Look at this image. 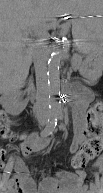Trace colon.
Returning <instances> with one entry per match:
<instances>
[{"instance_id": "5ec220e1", "label": "colon", "mask_w": 103, "mask_h": 193, "mask_svg": "<svg viewBox=\"0 0 103 193\" xmlns=\"http://www.w3.org/2000/svg\"><path fill=\"white\" fill-rule=\"evenodd\" d=\"M102 117V105L97 103L88 116V121L90 123L89 128L86 133L90 135V138L82 145V150L77 153L72 159V166L75 169L83 168L86 164V158L89 155L97 154L102 149V135L99 132V123ZM2 135L6 138L11 137V132L8 126L2 128Z\"/></svg>"}]
</instances>
